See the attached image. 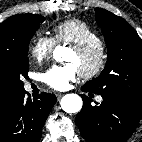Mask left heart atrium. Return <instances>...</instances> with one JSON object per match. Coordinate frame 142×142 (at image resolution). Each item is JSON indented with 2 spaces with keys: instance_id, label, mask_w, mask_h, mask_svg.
Returning <instances> with one entry per match:
<instances>
[{
  "instance_id": "39dd6f15",
  "label": "left heart atrium",
  "mask_w": 142,
  "mask_h": 142,
  "mask_svg": "<svg viewBox=\"0 0 142 142\" xmlns=\"http://www.w3.org/2000/svg\"><path fill=\"white\" fill-rule=\"evenodd\" d=\"M78 73L79 69L72 63L54 65L44 73L43 80L49 87L64 91L76 80Z\"/></svg>"
}]
</instances>
